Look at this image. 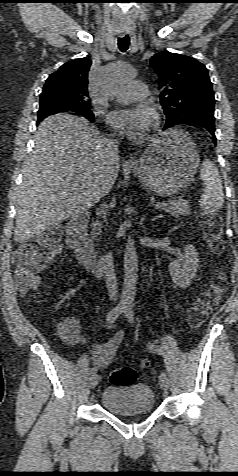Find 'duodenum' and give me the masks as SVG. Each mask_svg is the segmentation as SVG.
Here are the masks:
<instances>
[{
  "mask_svg": "<svg viewBox=\"0 0 238 476\" xmlns=\"http://www.w3.org/2000/svg\"><path fill=\"white\" fill-rule=\"evenodd\" d=\"M88 220L87 214L77 215L70 220L66 229V243L80 264L96 276L102 277L107 273V259L85 242Z\"/></svg>",
  "mask_w": 238,
  "mask_h": 476,
  "instance_id": "1",
  "label": "duodenum"
}]
</instances>
